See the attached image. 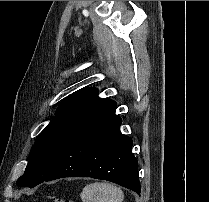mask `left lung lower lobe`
I'll list each match as a JSON object with an SVG mask.
<instances>
[{
  "instance_id": "0a47b994",
  "label": "left lung lower lobe",
  "mask_w": 209,
  "mask_h": 202,
  "mask_svg": "<svg viewBox=\"0 0 209 202\" xmlns=\"http://www.w3.org/2000/svg\"><path fill=\"white\" fill-rule=\"evenodd\" d=\"M116 107V102L111 101L83 122L44 181L91 177L117 183L140 194L133 142L120 132L122 120L115 115Z\"/></svg>"
}]
</instances>
